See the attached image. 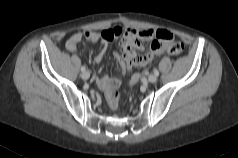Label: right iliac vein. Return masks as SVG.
<instances>
[{
  "mask_svg": "<svg viewBox=\"0 0 238 158\" xmlns=\"http://www.w3.org/2000/svg\"><path fill=\"white\" fill-rule=\"evenodd\" d=\"M81 77H82L84 80H87V79L90 78V73H89L88 71H84V72H82Z\"/></svg>",
  "mask_w": 238,
  "mask_h": 158,
  "instance_id": "1",
  "label": "right iliac vein"
}]
</instances>
